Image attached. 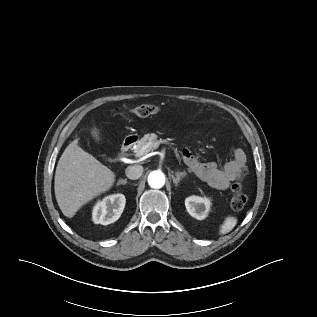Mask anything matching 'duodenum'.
Masks as SVG:
<instances>
[{
  "label": "duodenum",
  "mask_w": 317,
  "mask_h": 317,
  "mask_svg": "<svg viewBox=\"0 0 317 317\" xmlns=\"http://www.w3.org/2000/svg\"><path fill=\"white\" fill-rule=\"evenodd\" d=\"M136 141H137L136 136H129V137L125 138V140L123 141L122 146H121L122 153L128 152L133 147V145L136 143Z\"/></svg>",
  "instance_id": "1"
}]
</instances>
